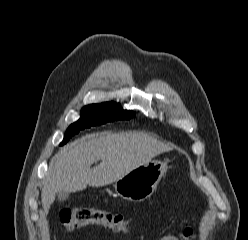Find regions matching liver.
<instances>
[{"label": "liver", "instance_id": "obj_1", "mask_svg": "<svg viewBox=\"0 0 248 240\" xmlns=\"http://www.w3.org/2000/svg\"><path fill=\"white\" fill-rule=\"evenodd\" d=\"M171 148L144 133H93L66 145L52 158L41 193L47 215L59 191L77 192L115 182ZM101 160L93 168L91 165Z\"/></svg>", "mask_w": 248, "mask_h": 240}]
</instances>
